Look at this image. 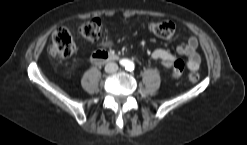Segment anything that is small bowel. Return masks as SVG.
<instances>
[{
  "label": "small bowel",
  "instance_id": "c3829d8e",
  "mask_svg": "<svg viewBox=\"0 0 247 145\" xmlns=\"http://www.w3.org/2000/svg\"><path fill=\"white\" fill-rule=\"evenodd\" d=\"M113 42L111 40H105L102 43L104 50L109 49ZM198 40L195 37H190L185 44H181L176 48L178 55L187 57V67L190 71L196 72L199 69L201 58L197 51ZM152 58L154 60H160L165 67H171L176 60V56L171 52L164 49H157L153 51Z\"/></svg>",
  "mask_w": 247,
  "mask_h": 145
}]
</instances>
